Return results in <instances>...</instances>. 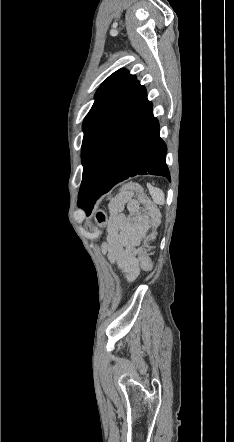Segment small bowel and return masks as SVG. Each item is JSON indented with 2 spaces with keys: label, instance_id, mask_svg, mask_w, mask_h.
<instances>
[{
  "label": "small bowel",
  "instance_id": "1",
  "mask_svg": "<svg viewBox=\"0 0 234 442\" xmlns=\"http://www.w3.org/2000/svg\"><path fill=\"white\" fill-rule=\"evenodd\" d=\"M125 209L128 214H125ZM109 212L107 237L102 250L109 261L124 272L129 282L134 281L141 270L140 256L143 255L138 254V245L146 230L147 216L131 195L113 200Z\"/></svg>",
  "mask_w": 234,
  "mask_h": 442
}]
</instances>
